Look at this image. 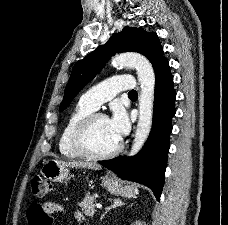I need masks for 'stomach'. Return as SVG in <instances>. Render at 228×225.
I'll return each mask as SVG.
<instances>
[{
	"label": "stomach",
	"instance_id": "obj_1",
	"mask_svg": "<svg viewBox=\"0 0 228 225\" xmlns=\"http://www.w3.org/2000/svg\"><path fill=\"white\" fill-rule=\"evenodd\" d=\"M69 173V165H64V163L55 161V159L45 161L41 169V175H43L45 179H48V181H52V183H63V181H66ZM102 187H105L106 191L111 193V195L127 197V199H132L137 193V189L134 185H122L116 177H110V175L103 177Z\"/></svg>",
	"mask_w": 228,
	"mask_h": 225
}]
</instances>
